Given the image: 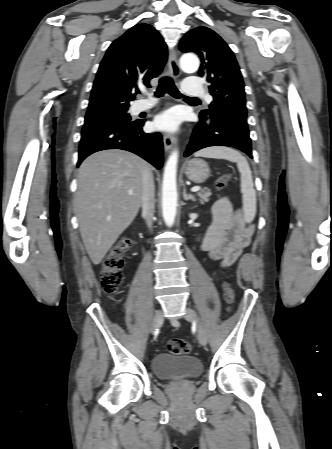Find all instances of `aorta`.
I'll return each mask as SVG.
<instances>
[{"label": "aorta", "instance_id": "aorta-1", "mask_svg": "<svg viewBox=\"0 0 332 449\" xmlns=\"http://www.w3.org/2000/svg\"><path fill=\"white\" fill-rule=\"evenodd\" d=\"M180 66L183 71L194 73L199 68V59L195 55L185 54L180 59ZM177 164L178 151L175 150L166 162L162 184V215L168 226L173 225L177 212Z\"/></svg>", "mask_w": 332, "mask_h": 449}]
</instances>
